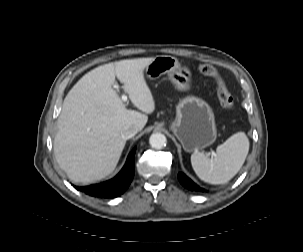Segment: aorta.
<instances>
[{
    "label": "aorta",
    "mask_w": 303,
    "mask_h": 252,
    "mask_svg": "<svg viewBox=\"0 0 303 252\" xmlns=\"http://www.w3.org/2000/svg\"><path fill=\"white\" fill-rule=\"evenodd\" d=\"M149 143L151 147L155 149H161L166 146L167 139L162 133H153L149 138Z\"/></svg>",
    "instance_id": "1"
}]
</instances>
